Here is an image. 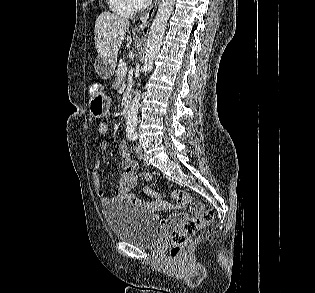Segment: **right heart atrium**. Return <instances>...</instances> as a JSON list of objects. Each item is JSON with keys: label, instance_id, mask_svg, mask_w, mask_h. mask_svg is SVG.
I'll return each mask as SVG.
<instances>
[{"label": "right heart atrium", "instance_id": "d8ad5b80", "mask_svg": "<svg viewBox=\"0 0 315 293\" xmlns=\"http://www.w3.org/2000/svg\"><path fill=\"white\" fill-rule=\"evenodd\" d=\"M134 9H140L144 6L146 0H130Z\"/></svg>", "mask_w": 315, "mask_h": 293}]
</instances>
